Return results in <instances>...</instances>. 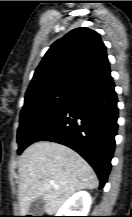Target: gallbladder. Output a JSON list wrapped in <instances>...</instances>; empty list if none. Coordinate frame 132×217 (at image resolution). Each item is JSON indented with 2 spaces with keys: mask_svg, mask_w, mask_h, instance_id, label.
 I'll use <instances>...</instances> for the list:
<instances>
[{
  "mask_svg": "<svg viewBox=\"0 0 132 217\" xmlns=\"http://www.w3.org/2000/svg\"><path fill=\"white\" fill-rule=\"evenodd\" d=\"M31 216H42L44 213V200L42 198H36L29 206V212Z\"/></svg>",
  "mask_w": 132,
  "mask_h": 217,
  "instance_id": "1",
  "label": "gallbladder"
}]
</instances>
